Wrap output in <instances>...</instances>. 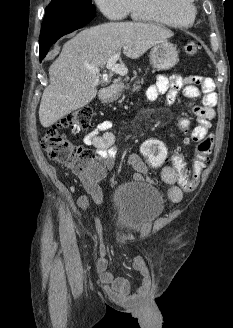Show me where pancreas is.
<instances>
[{"instance_id":"obj_1","label":"pancreas","mask_w":233,"mask_h":328,"mask_svg":"<svg viewBox=\"0 0 233 328\" xmlns=\"http://www.w3.org/2000/svg\"><path fill=\"white\" fill-rule=\"evenodd\" d=\"M136 83L137 84L143 83V79L138 80ZM139 90H140V86H137L134 84L132 91L135 92V91H139Z\"/></svg>"}]
</instances>
